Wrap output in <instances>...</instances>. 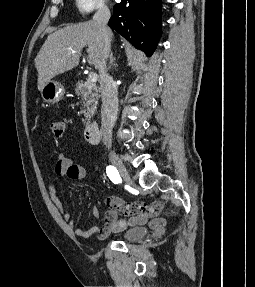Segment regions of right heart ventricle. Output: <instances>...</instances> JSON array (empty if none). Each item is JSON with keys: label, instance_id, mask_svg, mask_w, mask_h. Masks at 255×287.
<instances>
[{"label": "right heart ventricle", "instance_id": "right-heart-ventricle-1", "mask_svg": "<svg viewBox=\"0 0 255 287\" xmlns=\"http://www.w3.org/2000/svg\"><path fill=\"white\" fill-rule=\"evenodd\" d=\"M89 33H91V32H89ZM88 39H92V38H88ZM125 39H129V38H125ZM120 48H136V47H120Z\"/></svg>", "mask_w": 255, "mask_h": 287}]
</instances>
